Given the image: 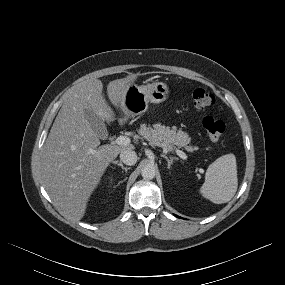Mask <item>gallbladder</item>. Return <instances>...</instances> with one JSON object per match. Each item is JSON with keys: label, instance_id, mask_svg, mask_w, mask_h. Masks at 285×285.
<instances>
[{"label": "gallbladder", "instance_id": "1", "mask_svg": "<svg viewBox=\"0 0 285 285\" xmlns=\"http://www.w3.org/2000/svg\"><path fill=\"white\" fill-rule=\"evenodd\" d=\"M85 115L97 136L101 139L107 138L108 132L104 120L99 115L90 110H86Z\"/></svg>", "mask_w": 285, "mask_h": 285}]
</instances>
